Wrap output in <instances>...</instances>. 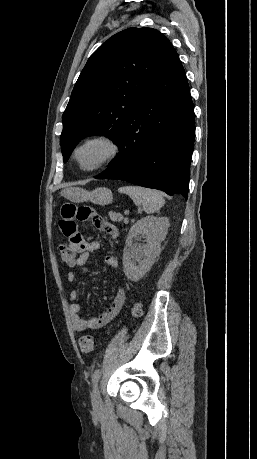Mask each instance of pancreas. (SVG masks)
Returning a JSON list of instances; mask_svg holds the SVG:
<instances>
[{"label":"pancreas","instance_id":"pancreas-1","mask_svg":"<svg viewBox=\"0 0 257 459\" xmlns=\"http://www.w3.org/2000/svg\"><path fill=\"white\" fill-rule=\"evenodd\" d=\"M109 217L113 222H120L123 220V216L116 212H109Z\"/></svg>","mask_w":257,"mask_h":459}]
</instances>
